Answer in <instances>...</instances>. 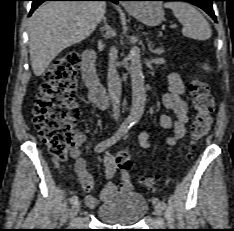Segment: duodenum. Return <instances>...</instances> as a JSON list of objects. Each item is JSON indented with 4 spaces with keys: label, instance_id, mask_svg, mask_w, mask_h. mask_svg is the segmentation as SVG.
Returning <instances> with one entry per match:
<instances>
[{
    "label": "duodenum",
    "instance_id": "duodenum-1",
    "mask_svg": "<svg viewBox=\"0 0 234 231\" xmlns=\"http://www.w3.org/2000/svg\"><path fill=\"white\" fill-rule=\"evenodd\" d=\"M96 55L93 50H85L82 55L81 73L85 86L89 90L90 99L99 108L108 107V95L100 83L95 69Z\"/></svg>",
    "mask_w": 234,
    "mask_h": 231
}]
</instances>
